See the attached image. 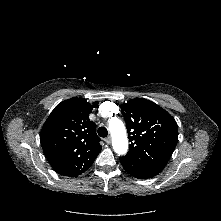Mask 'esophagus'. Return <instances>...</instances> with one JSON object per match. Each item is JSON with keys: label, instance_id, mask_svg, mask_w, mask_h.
<instances>
[{"label": "esophagus", "instance_id": "34e87169", "mask_svg": "<svg viewBox=\"0 0 221 221\" xmlns=\"http://www.w3.org/2000/svg\"><path fill=\"white\" fill-rule=\"evenodd\" d=\"M104 141H105V143H106V144H108V145H109V144H111L112 139H111V137H110V136H108L107 138H105V139H104Z\"/></svg>", "mask_w": 221, "mask_h": 221}]
</instances>
